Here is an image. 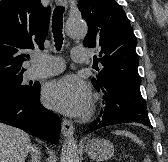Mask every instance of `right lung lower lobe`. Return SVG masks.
Returning <instances> with one entry per match:
<instances>
[{"instance_id":"1","label":"right lung lower lobe","mask_w":168,"mask_h":162,"mask_svg":"<svg viewBox=\"0 0 168 162\" xmlns=\"http://www.w3.org/2000/svg\"><path fill=\"white\" fill-rule=\"evenodd\" d=\"M39 101L40 84L32 86L28 92L0 91V122L56 143L60 136L61 122Z\"/></svg>"}]
</instances>
